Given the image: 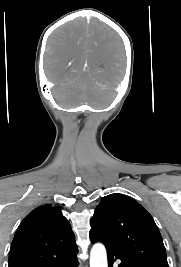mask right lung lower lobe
Masks as SVG:
<instances>
[{
	"label": "right lung lower lobe",
	"instance_id": "98d812e1",
	"mask_svg": "<svg viewBox=\"0 0 181 267\" xmlns=\"http://www.w3.org/2000/svg\"><path fill=\"white\" fill-rule=\"evenodd\" d=\"M77 251L78 250L70 254L57 257L54 260L46 263H20L13 265L12 267H77Z\"/></svg>",
	"mask_w": 181,
	"mask_h": 267
}]
</instances>
